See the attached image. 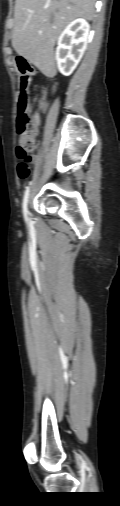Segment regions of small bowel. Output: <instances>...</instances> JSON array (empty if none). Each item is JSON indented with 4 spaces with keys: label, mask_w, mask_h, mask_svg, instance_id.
Segmentation results:
<instances>
[{
    "label": "small bowel",
    "mask_w": 120,
    "mask_h": 506,
    "mask_svg": "<svg viewBox=\"0 0 120 506\" xmlns=\"http://www.w3.org/2000/svg\"><path fill=\"white\" fill-rule=\"evenodd\" d=\"M47 107H48L47 103H45V102H40V103H39V108H40L42 111L46 110V109H47ZM35 118H36V126H37V125L39 124V122H40V115H39V114H36V115H35Z\"/></svg>",
    "instance_id": "small-bowel-1"
}]
</instances>
